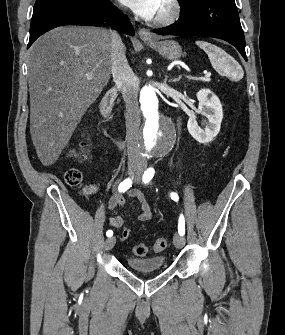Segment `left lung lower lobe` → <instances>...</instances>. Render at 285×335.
I'll list each match as a JSON object with an SVG mask.
<instances>
[{
    "label": "left lung lower lobe",
    "instance_id": "obj_1",
    "mask_svg": "<svg viewBox=\"0 0 285 335\" xmlns=\"http://www.w3.org/2000/svg\"><path fill=\"white\" fill-rule=\"evenodd\" d=\"M180 7L179 20L169 27L155 29L157 34L223 39L235 46L247 61L235 0H191L181 3Z\"/></svg>",
    "mask_w": 285,
    "mask_h": 335
}]
</instances>
